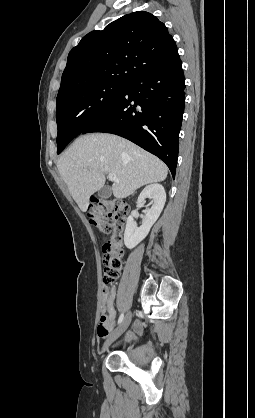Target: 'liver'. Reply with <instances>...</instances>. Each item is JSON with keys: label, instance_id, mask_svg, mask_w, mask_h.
Listing matches in <instances>:
<instances>
[{"label": "liver", "instance_id": "6515ba94", "mask_svg": "<svg viewBox=\"0 0 255 418\" xmlns=\"http://www.w3.org/2000/svg\"><path fill=\"white\" fill-rule=\"evenodd\" d=\"M79 208L86 212L89 198L105 184V174L114 173L112 192L126 198L138 188L166 179L167 166L134 143L112 134L93 133L79 137L57 162Z\"/></svg>", "mask_w": 255, "mask_h": 418}]
</instances>
